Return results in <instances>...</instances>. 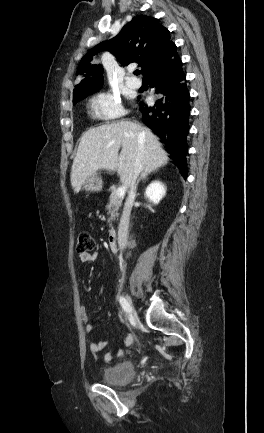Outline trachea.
Wrapping results in <instances>:
<instances>
[{
  "instance_id": "trachea-1",
  "label": "trachea",
  "mask_w": 264,
  "mask_h": 433,
  "mask_svg": "<svg viewBox=\"0 0 264 433\" xmlns=\"http://www.w3.org/2000/svg\"><path fill=\"white\" fill-rule=\"evenodd\" d=\"M134 74H135V75H139V74H140L139 70H135V71H134Z\"/></svg>"
}]
</instances>
